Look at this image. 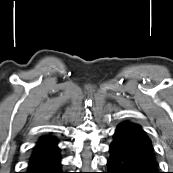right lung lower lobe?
<instances>
[{
    "label": "right lung lower lobe",
    "mask_w": 173,
    "mask_h": 173,
    "mask_svg": "<svg viewBox=\"0 0 173 173\" xmlns=\"http://www.w3.org/2000/svg\"><path fill=\"white\" fill-rule=\"evenodd\" d=\"M25 173H65L61 168L60 148L57 144L34 147Z\"/></svg>",
    "instance_id": "1"
}]
</instances>
